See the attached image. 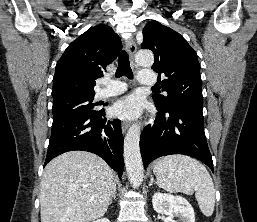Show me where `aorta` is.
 Returning a JSON list of instances; mask_svg holds the SVG:
<instances>
[{"label":"aorta","instance_id":"aorta-1","mask_svg":"<svg viewBox=\"0 0 257 222\" xmlns=\"http://www.w3.org/2000/svg\"><path fill=\"white\" fill-rule=\"evenodd\" d=\"M136 63L142 67H150L154 63L151 51L140 50L136 54ZM141 126H131L124 139V161L128 178L133 187L137 188L143 181V162L140 153Z\"/></svg>","mask_w":257,"mask_h":222}]
</instances>
